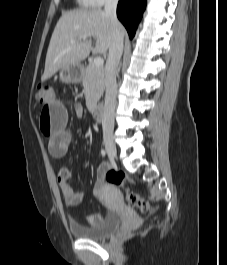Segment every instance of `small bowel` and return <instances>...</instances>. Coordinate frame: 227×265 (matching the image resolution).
I'll use <instances>...</instances> for the list:
<instances>
[{
  "label": "small bowel",
  "instance_id": "obj_1",
  "mask_svg": "<svg viewBox=\"0 0 227 265\" xmlns=\"http://www.w3.org/2000/svg\"><path fill=\"white\" fill-rule=\"evenodd\" d=\"M77 115L83 114V108L80 104L75 105ZM40 129L48 138L49 153L55 158H62L66 155L72 134L67 129L68 112L65 106L57 99L52 97L49 102H44L43 109L39 112ZM106 165H100L96 171V180L93 188L95 196L100 197L105 174ZM71 171L67 167H62L57 173V183L65 204L74 207L81 204L86 197L85 192L74 191L70 184ZM103 220L100 214H91L87 221L91 226L99 225Z\"/></svg>",
  "mask_w": 227,
  "mask_h": 265
}]
</instances>
